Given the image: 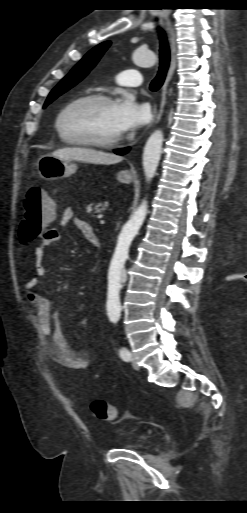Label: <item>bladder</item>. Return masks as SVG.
Returning a JSON list of instances; mask_svg holds the SVG:
<instances>
[{
    "label": "bladder",
    "instance_id": "bladder-1",
    "mask_svg": "<svg viewBox=\"0 0 247 513\" xmlns=\"http://www.w3.org/2000/svg\"><path fill=\"white\" fill-rule=\"evenodd\" d=\"M150 442L143 434H134L125 438L116 440L109 449L119 450H145L149 447Z\"/></svg>",
    "mask_w": 247,
    "mask_h": 513
}]
</instances>
